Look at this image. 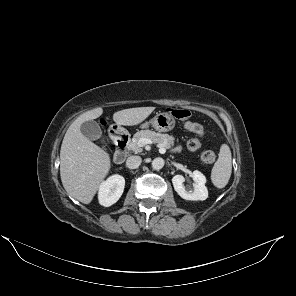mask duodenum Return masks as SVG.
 I'll list each match as a JSON object with an SVG mask.
<instances>
[{
  "mask_svg": "<svg viewBox=\"0 0 296 296\" xmlns=\"http://www.w3.org/2000/svg\"><path fill=\"white\" fill-rule=\"evenodd\" d=\"M110 133L116 144V151L113 155V161L116 164H121L126 160L127 157L128 136L122 130L114 128L110 130Z\"/></svg>",
  "mask_w": 296,
  "mask_h": 296,
  "instance_id": "obj_1",
  "label": "duodenum"
}]
</instances>
